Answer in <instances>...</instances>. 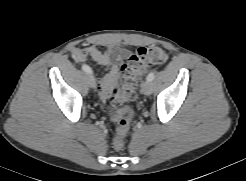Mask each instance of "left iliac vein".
Segmentation results:
<instances>
[{
    "label": "left iliac vein",
    "instance_id": "4c4485c4",
    "mask_svg": "<svg viewBox=\"0 0 246 181\" xmlns=\"http://www.w3.org/2000/svg\"><path fill=\"white\" fill-rule=\"evenodd\" d=\"M141 92L145 95H150L152 92V84L151 81H144L141 85Z\"/></svg>",
    "mask_w": 246,
    "mask_h": 181
}]
</instances>
